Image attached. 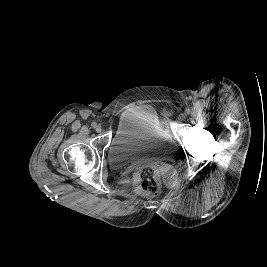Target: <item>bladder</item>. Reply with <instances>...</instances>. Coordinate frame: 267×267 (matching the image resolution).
Returning <instances> with one entry per match:
<instances>
[{
  "mask_svg": "<svg viewBox=\"0 0 267 267\" xmlns=\"http://www.w3.org/2000/svg\"><path fill=\"white\" fill-rule=\"evenodd\" d=\"M167 136L155 111L139 106L125 111L108 149V163L115 168L136 164L161 153Z\"/></svg>",
  "mask_w": 267,
  "mask_h": 267,
  "instance_id": "31cf9c89",
  "label": "bladder"
}]
</instances>
